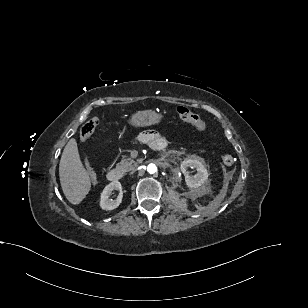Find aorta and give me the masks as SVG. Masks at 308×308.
I'll list each match as a JSON object with an SVG mask.
<instances>
[{
	"mask_svg": "<svg viewBox=\"0 0 308 308\" xmlns=\"http://www.w3.org/2000/svg\"><path fill=\"white\" fill-rule=\"evenodd\" d=\"M147 171L150 173V174H153L157 171V167L155 164H149L147 166Z\"/></svg>",
	"mask_w": 308,
	"mask_h": 308,
	"instance_id": "762f6f07",
	"label": "aorta"
}]
</instances>
